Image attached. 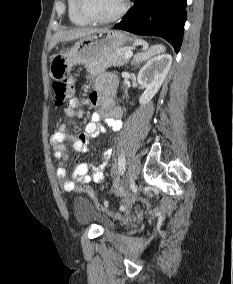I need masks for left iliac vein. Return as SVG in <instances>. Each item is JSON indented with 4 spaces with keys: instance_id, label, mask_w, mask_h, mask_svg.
Returning a JSON list of instances; mask_svg holds the SVG:
<instances>
[{
    "instance_id": "obj_1",
    "label": "left iliac vein",
    "mask_w": 233,
    "mask_h": 284,
    "mask_svg": "<svg viewBox=\"0 0 233 284\" xmlns=\"http://www.w3.org/2000/svg\"><path fill=\"white\" fill-rule=\"evenodd\" d=\"M140 171V159L138 156H133L129 163L127 183L135 180Z\"/></svg>"
}]
</instances>
